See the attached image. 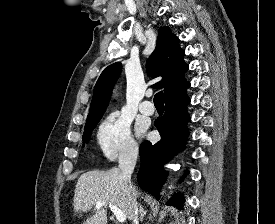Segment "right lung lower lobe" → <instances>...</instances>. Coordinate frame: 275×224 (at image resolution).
<instances>
[{
    "label": "right lung lower lobe",
    "mask_w": 275,
    "mask_h": 224,
    "mask_svg": "<svg viewBox=\"0 0 275 224\" xmlns=\"http://www.w3.org/2000/svg\"><path fill=\"white\" fill-rule=\"evenodd\" d=\"M189 82L167 92L165 97V114L155 121L161 140L155 144L145 141L140 146L141 167L138 172V183L141 189L159 199L160 189L167 172L162 170L163 164L184 148L188 137L187 121L189 115L186 107L190 102L186 94ZM188 172L186 171L185 174ZM179 209L183 208V195L175 194L169 201Z\"/></svg>",
    "instance_id": "right-lung-lower-lobe-1"
}]
</instances>
